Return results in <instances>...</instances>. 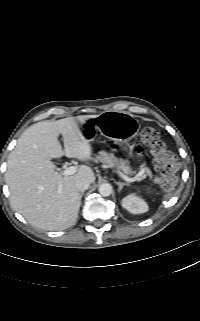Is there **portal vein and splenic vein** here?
<instances>
[{
  "mask_svg": "<svg viewBox=\"0 0 200 321\" xmlns=\"http://www.w3.org/2000/svg\"><path fill=\"white\" fill-rule=\"evenodd\" d=\"M77 172V167L76 166H70V167H67L65 168L63 171H62V175L64 176H69V175H73ZM117 173L119 174V176L124 179L125 181L127 182H134V181H137L139 180V177L141 176V174H137L135 177L133 178H130L126 175H124L122 172L120 171H117Z\"/></svg>",
  "mask_w": 200,
  "mask_h": 321,
  "instance_id": "18ae733b",
  "label": "portal vein and splenic vein"
}]
</instances>
